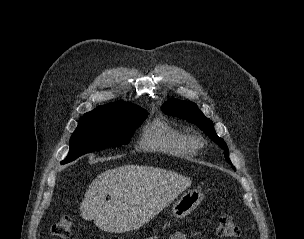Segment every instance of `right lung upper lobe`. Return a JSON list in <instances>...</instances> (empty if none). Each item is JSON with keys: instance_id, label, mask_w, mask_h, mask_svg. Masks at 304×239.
<instances>
[{"instance_id": "right-lung-upper-lobe-1", "label": "right lung upper lobe", "mask_w": 304, "mask_h": 239, "mask_svg": "<svg viewBox=\"0 0 304 239\" xmlns=\"http://www.w3.org/2000/svg\"><path fill=\"white\" fill-rule=\"evenodd\" d=\"M132 108H140L130 102L109 103L106 105L98 106L93 111L86 113L84 116H113L124 113Z\"/></svg>"}]
</instances>
